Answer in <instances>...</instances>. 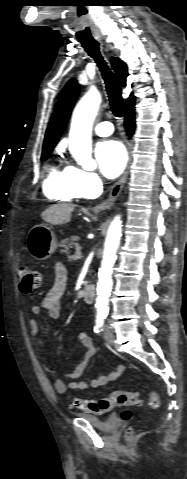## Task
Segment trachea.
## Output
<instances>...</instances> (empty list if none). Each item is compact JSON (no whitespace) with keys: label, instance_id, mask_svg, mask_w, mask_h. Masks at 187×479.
<instances>
[{"label":"trachea","instance_id":"obj_1","mask_svg":"<svg viewBox=\"0 0 187 479\" xmlns=\"http://www.w3.org/2000/svg\"><path fill=\"white\" fill-rule=\"evenodd\" d=\"M85 51L95 60L106 84V91L110 101L112 113L116 117H122L124 104L121 88L116 76L110 71L106 62L100 54L99 43L95 40L80 41Z\"/></svg>","mask_w":187,"mask_h":479}]
</instances>
